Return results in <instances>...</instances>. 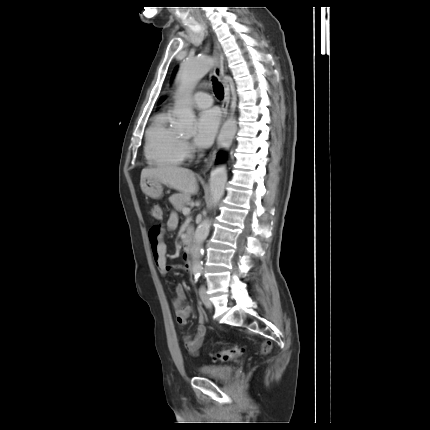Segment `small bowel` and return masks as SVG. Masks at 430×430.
<instances>
[{"label": "small bowel", "instance_id": "small-bowel-1", "mask_svg": "<svg viewBox=\"0 0 430 430\" xmlns=\"http://www.w3.org/2000/svg\"><path fill=\"white\" fill-rule=\"evenodd\" d=\"M178 218L176 214L172 213L167 221V229L173 230L176 228ZM166 229L160 225H154L149 229L148 238L152 251L153 260L158 272L165 276L171 269L166 261L167 247L164 242ZM184 271L189 270V265L184 264L181 266ZM172 307L175 311L176 322L180 326L187 324L188 318L192 313V307L186 303V294L181 285L176 286L175 296L172 300ZM206 335L205 320L202 314L198 318V326L192 336L184 338V346L187 352L191 355H197L202 347L204 337Z\"/></svg>", "mask_w": 430, "mask_h": 430}]
</instances>
